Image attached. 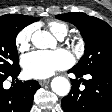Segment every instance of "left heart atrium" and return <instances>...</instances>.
Wrapping results in <instances>:
<instances>
[{
    "instance_id": "1",
    "label": "left heart atrium",
    "mask_w": 112,
    "mask_h": 112,
    "mask_svg": "<svg viewBox=\"0 0 112 112\" xmlns=\"http://www.w3.org/2000/svg\"><path fill=\"white\" fill-rule=\"evenodd\" d=\"M73 62L71 54L59 49L55 51H34L22 57L21 64L26 76L44 79L56 71L69 67Z\"/></svg>"
}]
</instances>
